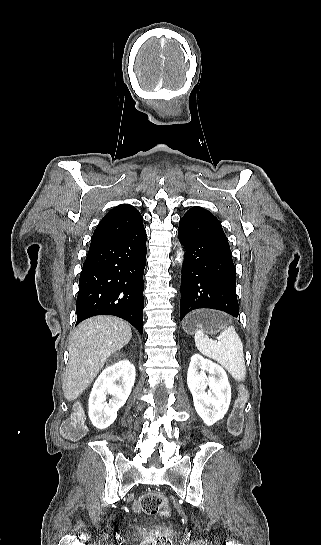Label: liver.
Returning a JSON list of instances; mask_svg holds the SVG:
<instances>
[{
	"label": "liver",
	"instance_id": "liver-1",
	"mask_svg": "<svg viewBox=\"0 0 321 545\" xmlns=\"http://www.w3.org/2000/svg\"><path fill=\"white\" fill-rule=\"evenodd\" d=\"M132 337L128 323L99 315L83 321L69 343V361L63 377L67 401H75L93 383L107 359L120 351Z\"/></svg>",
	"mask_w": 321,
	"mask_h": 545
}]
</instances>
